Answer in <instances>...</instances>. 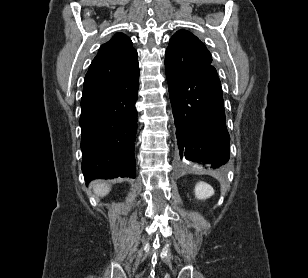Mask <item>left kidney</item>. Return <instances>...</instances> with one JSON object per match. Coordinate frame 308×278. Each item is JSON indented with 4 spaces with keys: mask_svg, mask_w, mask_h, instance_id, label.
<instances>
[{
    "mask_svg": "<svg viewBox=\"0 0 308 278\" xmlns=\"http://www.w3.org/2000/svg\"><path fill=\"white\" fill-rule=\"evenodd\" d=\"M194 191L196 198L199 200H205L214 194L213 188L204 182L197 183Z\"/></svg>",
    "mask_w": 308,
    "mask_h": 278,
    "instance_id": "obj_1",
    "label": "left kidney"
}]
</instances>
